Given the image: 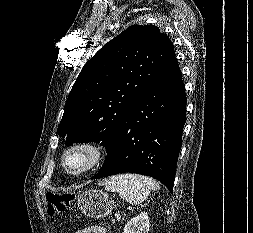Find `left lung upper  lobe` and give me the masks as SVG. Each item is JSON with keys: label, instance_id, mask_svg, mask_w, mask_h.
Instances as JSON below:
<instances>
[{"label": "left lung upper lobe", "instance_id": "5c2ea615", "mask_svg": "<svg viewBox=\"0 0 253 233\" xmlns=\"http://www.w3.org/2000/svg\"><path fill=\"white\" fill-rule=\"evenodd\" d=\"M175 56L174 45L152 25H132L82 68L64 107L58 134L73 143L112 145L126 117Z\"/></svg>", "mask_w": 253, "mask_h": 233}]
</instances>
